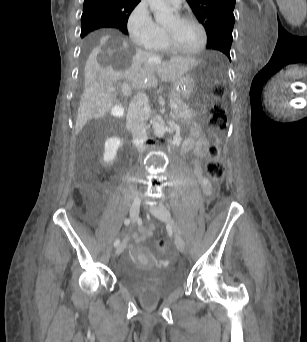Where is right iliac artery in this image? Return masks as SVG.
<instances>
[{"label":"right iliac artery","mask_w":307,"mask_h":342,"mask_svg":"<svg viewBox=\"0 0 307 342\" xmlns=\"http://www.w3.org/2000/svg\"><path fill=\"white\" fill-rule=\"evenodd\" d=\"M130 221H131L130 218H126V219L124 220V224H125V225H129V224H130ZM119 244H120V240H119V239H116L115 242H114V246L117 247Z\"/></svg>","instance_id":"1"}]
</instances>
